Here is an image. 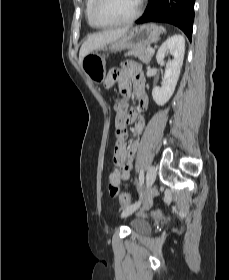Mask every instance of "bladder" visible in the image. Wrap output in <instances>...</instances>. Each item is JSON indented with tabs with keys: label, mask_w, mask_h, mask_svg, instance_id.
Instances as JSON below:
<instances>
[{
	"label": "bladder",
	"mask_w": 229,
	"mask_h": 280,
	"mask_svg": "<svg viewBox=\"0 0 229 280\" xmlns=\"http://www.w3.org/2000/svg\"><path fill=\"white\" fill-rule=\"evenodd\" d=\"M129 226L135 233H149L152 230L151 225L144 219H133L129 222Z\"/></svg>",
	"instance_id": "bladder-1"
}]
</instances>
